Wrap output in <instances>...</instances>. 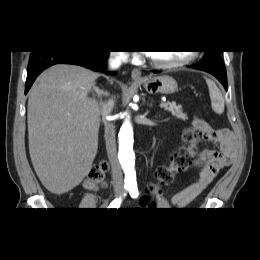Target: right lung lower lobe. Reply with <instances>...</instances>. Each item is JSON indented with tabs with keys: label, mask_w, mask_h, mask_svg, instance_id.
<instances>
[{
	"label": "right lung lower lobe",
	"mask_w": 260,
	"mask_h": 260,
	"mask_svg": "<svg viewBox=\"0 0 260 260\" xmlns=\"http://www.w3.org/2000/svg\"><path fill=\"white\" fill-rule=\"evenodd\" d=\"M109 52L110 51L94 50L31 51L27 70L25 94L28 92L37 76L46 68L58 63H67L98 71L104 67Z\"/></svg>",
	"instance_id": "98d812e1"
}]
</instances>
